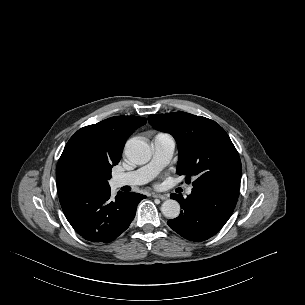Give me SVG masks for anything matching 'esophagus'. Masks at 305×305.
Wrapping results in <instances>:
<instances>
[{
	"instance_id": "esophagus-1",
	"label": "esophagus",
	"mask_w": 305,
	"mask_h": 305,
	"mask_svg": "<svg viewBox=\"0 0 305 305\" xmlns=\"http://www.w3.org/2000/svg\"><path fill=\"white\" fill-rule=\"evenodd\" d=\"M153 197L161 199V200H167L168 199V195H165V194H154Z\"/></svg>"
}]
</instances>
